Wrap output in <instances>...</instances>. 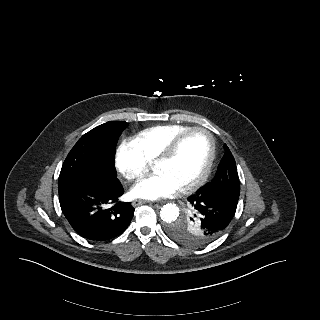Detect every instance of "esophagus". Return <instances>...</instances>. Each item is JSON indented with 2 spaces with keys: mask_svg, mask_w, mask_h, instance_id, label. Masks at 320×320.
<instances>
[{
  "mask_svg": "<svg viewBox=\"0 0 320 320\" xmlns=\"http://www.w3.org/2000/svg\"><path fill=\"white\" fill-rule=\"evenodd\" d=\"M145 203H147V201L141 200V199H136V200H134V201L132 202V205H133L134 207H136V206H139V205H142V204H145Z\"/></svg>",
  "mask_w": 320,
  "mask_h": 320,
  "instance_id": "1",
  "label": "esophagus"
}]
</instances>
